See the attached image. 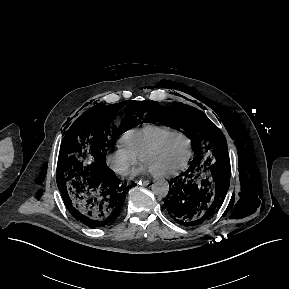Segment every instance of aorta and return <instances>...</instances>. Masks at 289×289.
<instances>
[{"label":"aorta","mask_w":289,"mask_h":289,"mask_svg":"<svg viewBox=\"0 0 289 289\" xmlns=\"http://www.w3.org/2000/svg\"><path fill=\"white\" fill-rule=\"evenodd\" d=\"M153 194L158 197H166L169 192V183L166 180H158L151 186Z\"/></svg>","instance_id":"aorta-1"}]
</instances>
